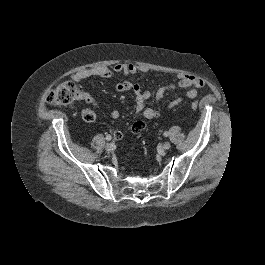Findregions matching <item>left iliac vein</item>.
Instances as JSON below:
<instances>
[{
	"label": "left iliac vein",
	"instance_id": "left-iliac-vein-1",
	"mask_svg": "<svg viewBox=\"0 0 265 265\" xmlns=\"http://www.w3.org/2000/svg\"><path fill=\"white\" fill-rule=\"evenodd\" d=\"M163 148H164L165 150H169V149L171 148V144H170L169 142H165V143L163 144Z\"/></svg>",
	"mask_w": 265,
	"mask_h": 265
}]
</instances>
